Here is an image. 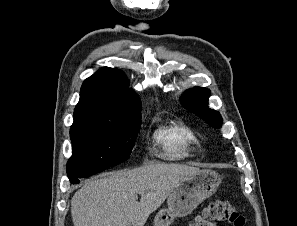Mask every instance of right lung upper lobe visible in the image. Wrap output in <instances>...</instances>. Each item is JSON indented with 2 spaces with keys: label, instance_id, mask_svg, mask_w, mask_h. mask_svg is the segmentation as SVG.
I'll list each match as a JSON object with an SVG mask.
<instances>
[{
  "label": "right lung upper lobe",
  "instance_id": "obj_1",
  "mask_svg": "<svg viewBox=\"0 0 297 226\" xmlns=\"http://www.w3.org/2000/svg\"><path fill=\"white\" fill-rule=\"evenodd\" d=\"M128 108L141 109L139 98L129 89L121 71L105 67L84 81L74 123L117 125L121 113Z\"/></svg>",
  "mask_w": 297,
  "mask_h": 226
}]
</instances>
